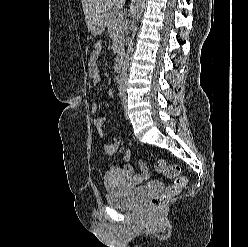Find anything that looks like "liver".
I'll use <instances>...</instances> for the list:
<instances>
[{"label": "liver", "instance_id": "obj_1", "mask_svg": "<svg viewBox=\"0 0 248 247\" xmlns=\"http://www.w3.org/2000/svg\"><path fill=\"white\" fill-rule=\"evenodd\" d=\"M126 0H81L88 30L111 8L121 9Z\"/></svg>", "mask_w": 248, "mask_h": 247}]
</instances>
